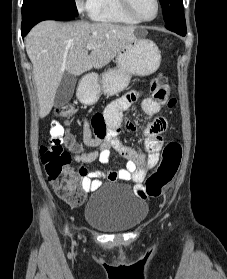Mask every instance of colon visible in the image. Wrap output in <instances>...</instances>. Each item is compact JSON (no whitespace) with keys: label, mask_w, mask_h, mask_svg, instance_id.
<instances>
[{"label":"colon","mask_w":227,"mask_h":279,"mask_svg":"<svg viewBox=\"0 0 227 279\" xmlns=\"http://www.w3.org/2000/svg\"><path fill=\"white\" fill-rule=\"evenodd\" d=\"M167 78L160 74L151 83L155 92V97L167 107H174L177 100L172 96L167 88ZM75 111L73 105H65L58 111L59 120L53 121L50 140L48 145L41 146L40 160L44 166L48 180L58 196L70 205L80 202L78 180L67 170L71 163V155L62 149L63 125L61 120L70 118ZM94 130L97 133L105 131V121L100 114H95L92 118ZM182 158V147L177 141H170L166 144L162 152V158L155 171L146 179L142 190H134L141 199L158 198L174 179Z\"/></svg>","instance_id":"1"}]
</instances>
